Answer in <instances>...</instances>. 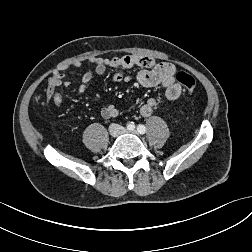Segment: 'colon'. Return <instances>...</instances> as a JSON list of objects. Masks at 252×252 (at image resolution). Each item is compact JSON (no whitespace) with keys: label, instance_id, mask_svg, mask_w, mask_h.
<instances>
[{"label":"colon","instance_id":"5ec220e1","mask_svg":"<svg viewBox=\"0 0 252 252\" xmlns=\"http://www.w3.org/2000/svg\"><path fill=\"white\" fill-rule=\"evenodd\" d=\"M176 81L188 92H193L196 88L195 78L186 72H179Z\"/></svg>","mask_w":252,"mask_h":252}]
</instances>
